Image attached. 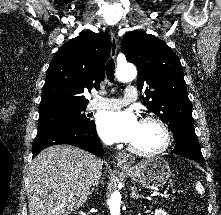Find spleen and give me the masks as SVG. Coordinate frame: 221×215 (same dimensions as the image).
Instances as JSON below:
<instances>
[{
    "instance_id": "1",
    "label": "spleen",
    "mask_w": 221,
    "mask_h": 215,
    "mask_svg": "<svg viewBox=\"0 0 221 215\" xmlns=\"http://www.w3.org/2000/svg\"><path fill=\"white\" fill-rule=\"evenodd\" d=\"M196 190L200 193L203 194L204 193V188L202 186V184L200 182L196 183Z\"/></svg>"
}]
</instances>
